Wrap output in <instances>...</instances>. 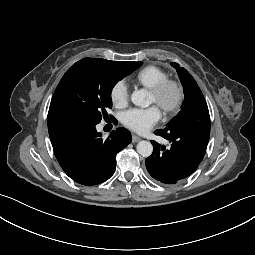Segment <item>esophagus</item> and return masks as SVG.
I'll return each instance as SVG.
<instances>
[{"label":"esophagus","instance_id":"34e87169","mask_svg":"<svg viewBox=\"0 0 255 255\" xmlns=\"http://www.w3.org/2000/svg\"><path fill=\"white\" fill-rule=\"evenodd\" d=\"M140 140H141L140 137H138V136H136V135H132V142H133V143H136V142H138V141H140Z\"/></svg>","mask_w":255,"mask_h":255}]
</instances>
